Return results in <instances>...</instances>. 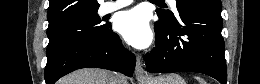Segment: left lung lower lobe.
Listing matches in <instances>:
<instances>
[{
	"mask_svg": "<svg viewBox=\"0 0 260 84\" xmlns=\"http://www.w3.org/2000/svg\"><path fill=\"white\" fill-rule=\"evenodd\" d=\"M178 20L159 15L156 47L145 56L151 73L199 72L227 82L221 9L178 3Z\"/></svg>",
	"mask_w": 260,
	"mask_h": 84,
	"instance_id": "1",
	"label": "left lung lower lobe"
}]
</instances>
